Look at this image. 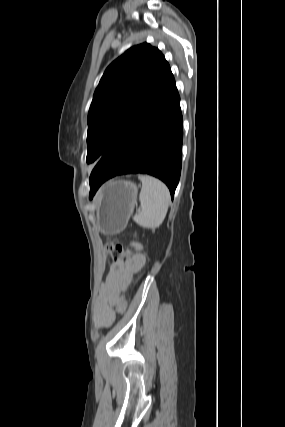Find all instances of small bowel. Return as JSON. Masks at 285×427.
Instances as JSON below:
<instances>
[{"mask_svg":"<svg viewBox=\"0 0 285 427\" xmlns=\"http://www.w3.org/2000/svg\"><path fill=\"white\" fill-rule=\"evenodd\" d=\"M137 252L126 260L114 261L105 282L101 284L95 302V321L99 328L110 326L114 320L113 306L118 302L121 291L129 283L132 273L142 269L146 263L141 246L135 244Z\"/></svg>","mask_w":285,"mask_h":427,"instance_id":"obj_1","label":"small bowel"}]
</instances>
